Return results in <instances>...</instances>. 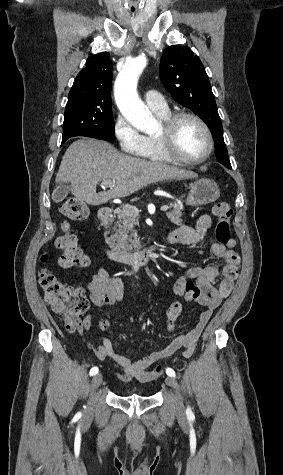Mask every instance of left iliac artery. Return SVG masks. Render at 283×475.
<instances>
[{
    "label": "left iliac artery",
    "instance_id": "1",
    "mask_svg": "<svg viewBox=\"0 0 283 475\" xmlns=\"http://www.w3.org/2000/svg\"><path fill=\"white\" fill-rule=\"evenodd\" d=\"M166 373H167L168 376L175 377V371H174L173 369H171V368H167V369H166ZM186 414H187L188 416H192V415H193V412L191 411V408H190V407L187 408Z\"/></svg>",
    "mask_w": 283,
    "mask_h": 475
}]
</instances>
